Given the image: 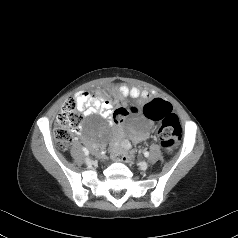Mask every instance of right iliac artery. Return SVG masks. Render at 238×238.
<instances>
[{"instance_id":"82829eb1","label":"right iliac artery","mask_w":238,"mask_h":238,"mask_svg":"<svg viewBox=\"0 0 238 238\" xmlns=\"http://www.w3.org/2000/svg\"><path fill=\"white\" fill-rule=\"evenodd\" d=\"M82 150L85 152L86 155H88L89 151L85 147H82Z\"/></svg>"}]
</instances>
